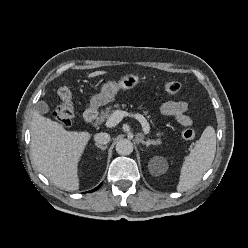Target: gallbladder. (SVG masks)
Returning <instances> with one entry per match:
<instances>
[{"label": "gallbladder", "instance_id": "obj_1", "mask_svg": "<svg viewBox=\"0 0 248 248\" xmlns=\"http://www.w3.org/2000/svg\"><path fill=\"white\" fill-rule=\"evenodd\" d=\"M36 110L41 114H46L49 111V106L44 101H39L36 104Z\"/></svg>", "mask_w": 248, "mask_h": 248}]
</instances>
